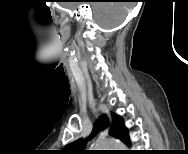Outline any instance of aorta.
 Segmentation results:
<instances>
[{
	"mask_svg": "<svg viewBox=\"0 0 188 154\" xmlns=\"http://www.w3.org/2000/svg\"><path fill=\"white\" fill-rule=\"evenodd\" d=\"M91 147L94 150H124L125 145L116 139H97Z\"/></svg>",
	"mask_w": 188,
	"mask_h": 154,
	"instance_id": "obj_1",
	"label": "aorta"
}]
</instances>
